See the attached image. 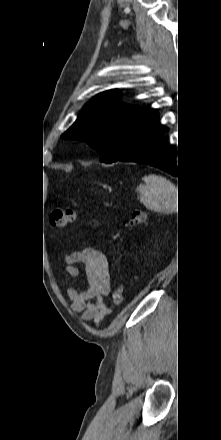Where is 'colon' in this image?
<instances>
[{
  "mask_svg": "<svg viewBox=\"0 0 221 440\" xmlns=\"http://www.w3.org/2000/svg\"><path fill=\"white\" fill-rule=\"evenodd\" d=\"M144 211H133L130 214L128 224L131 226L142 225L146 220ZM76 219V213L72 209L56 208L50 214V223L58 228H64L72 224ZM111 301L114 305L119 306L124 301V291L121 287H116L111 293Z\"/></svg>",
  "mask_w": 221,
  "mask_h": 440,
  "instance_id": "5ec220e1",
  "label": "colon"
}]
</instances>
